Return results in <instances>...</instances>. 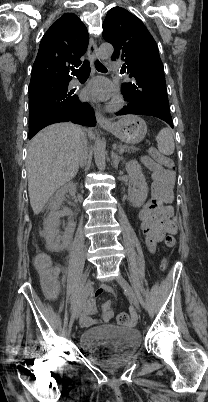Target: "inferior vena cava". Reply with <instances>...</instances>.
Listing matches in <instances>:
<instances>
[{
    "label": "inferior vena cava",
    "mask_w": 208,
    "mask_h": 402,
    "mask_svg": "<svg viewBox=\"0 0 208 402\" xmlns=\"http://www.w3.org/2000/svg\"><path fill=\"white\" fill-rule=\"evenodd\" d=\"M87 140L85 138V136H83L80 144H79V148H78V162L81 166V168H83V166H86L87 164Z\"/></svg>",
    "instance_id": "inferior-vena-cava-1"
}]
</instances>
